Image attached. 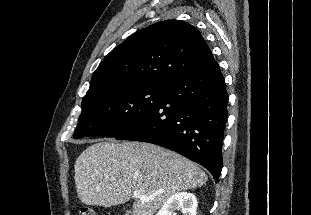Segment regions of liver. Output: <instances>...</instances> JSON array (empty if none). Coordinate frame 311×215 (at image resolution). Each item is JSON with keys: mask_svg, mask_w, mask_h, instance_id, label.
Wrapping results in <instances>:
<instances>
[{"mask_svg": "<svg viewBox=\"0 0 311 215\" xmlns=\"http://www.w3.org/2000/svg\"><path fill=\"white\" fill-rule=\"evenodd\" d=\"M79 199L89 206L111 207L128 201L134 191L133 215H153L172 195L203 186L208 177L194 162L162 147L139 142L99 141L76 159Z\"/></svg>", "mask_w": 311, "mask_h": 215, "instance_id": "liver-1", "label": "liver"}]
</instances>
